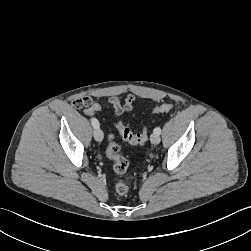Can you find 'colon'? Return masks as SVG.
Here are the masks:
<instances>
[{
    "instance_id": "obj_1",
    "label": "colon",
    "mask_w": 251,
    "mask_h": 251,
    "mask_svg": "<svg viewBox=\"0 0 251 251\" xmlns=\"http://www.w3.org/2000/svg\"><path fill=\"white\" fill-rule=\"evenodd\" d=\"M173 109V105L169 103H163L154 108V114L166 113ZM104 107L100 106L99 102H94L92 106L86 108L84 115L87 118L94 116L96 113H103ZM122 138L132 145H143L148 140V129L145 127L139 133H133L128 127L122 123L117 122L115 124ZM109 144L106 149V156L112 161L113 170L118 180L115 183V191L119 195H125L129 191L130 178H121L127 171L128 161L120 154V147L115 142L112 135L109 136Z\"/></svg>"
}]
</instances>
